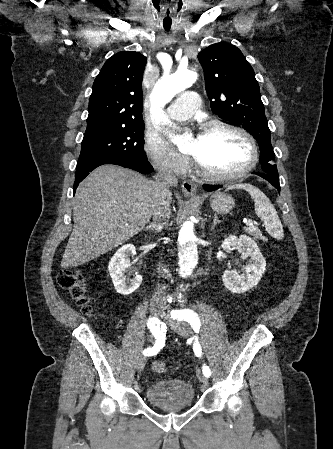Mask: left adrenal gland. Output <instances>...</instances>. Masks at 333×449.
Wrapping results in <instances>:
<instances>
[{
    "mask_svg": "<svg viewBox=\"0 0 333 449\" xmlns=\"http://www.w3.org/2000/svg\"><path fill=\"white\" fill-rule=\"evenodd\" d=\"M220 222V220L218 219L217 215L214 216L213 222H212V226L211 228L214 229L215 226Z\"/></svg>",
    "mask_w": 333,
    "mask_h": 449,
    "instance_id": "obj_1",
    "label": "left adrenal gland"
}]
</instances>
